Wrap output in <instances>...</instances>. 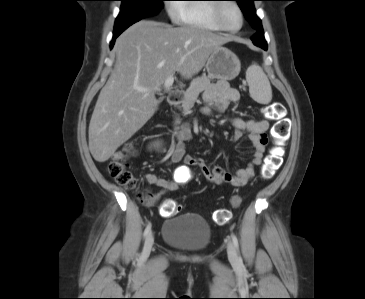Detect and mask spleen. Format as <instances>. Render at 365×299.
Returning a JSON list of instances; mask_svg holds the SVG:
<instances>
[{"instance_id":"1","label":"spleen","mask_w":365,"mask_h":299,"mask_svg":"<svg viewBox=\"0 0 365 299\" xmlns=\"http://www.w3.org/2000/svg\"><path fill=\"white\" fill-rule=\"evenodd\" d=\"M249 93L253 100L268 104L272 99V89L268 77L257 64H252L246 72Z\"/></svg>"}]
</instances>
